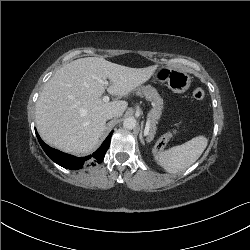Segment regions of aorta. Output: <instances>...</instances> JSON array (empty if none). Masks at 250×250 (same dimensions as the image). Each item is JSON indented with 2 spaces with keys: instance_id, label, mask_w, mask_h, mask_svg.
<instances>
[{
  "instance_id": "762f6f07",
  "label": "aorta",
  "mask_w": 250,
  "mask_h": 250,
  "mask_svg": "<svg viewBox=\"0 0 250 250\" xmlns=\"http://www.w3.org/2000/svg\"><path fill=\"white\" fill-rule=\"evenodd\" d=\"M123 126L124 128L129 129V130L134 129L136 126V119L133 117L126 118L123 122Z\"/></svg>"
}]
</instances>
